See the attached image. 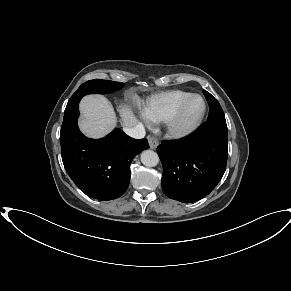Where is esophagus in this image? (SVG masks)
I'll use <instances>...</instances> for the list:
<instances>
[{
    "label": "esophagus",
    "mask_w": 291,
    "mask_h": 291,
    "mask_svg": "<svg viewBox=\"0 0 291 291\" xmlns=\"http://www.w3.org/2000/svg\"><path fill=\"white\" fill-rule=\"evenodd\" d=\"M148 143L151 149H156L159 142L154 136H148Z\"/></svg>",
    "instance_id": "esophagus-1"
}]
</instances>
